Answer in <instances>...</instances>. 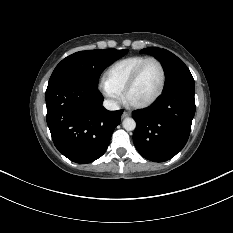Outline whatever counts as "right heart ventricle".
<instances>
[{
    "mask_svg": "<svg viewBox=\"0 0 233 233\" xmlns=\"http://www.w3.org/2000/svg\"><path fill=\"white\" fill-rule=\"evenodd\" d=\"M148 58L147 56L137 55L118 60L106 70L104 80L120 92H123L132 73Z\"/></svg>",
    "mask_w": 233,
    "mask_h": 233,
    "instance_id": "right-heart-ventricle-1",
    "label": "right heart ventricle"
}]
</instances>
